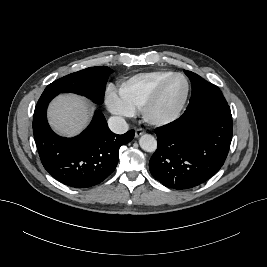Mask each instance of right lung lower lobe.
I'll use <instances>...</instances> for the list:
<instances>
[{"label":"right lung lower lobe","mask_w":267,"mask_h":267,"mask_svg":"<svg viewBox=\"0 0 267 267\" xmlns=\"http://www.w3.org/2000/svg\"><path fill=\"white\" fill-rule=\"evenodd\" d=\"M56 93H43L35 107L33 132L39 156L47 172L63 184L87 188L104 181L116 168L118 151L134 138V131L114 134L97 111L78 136L63 138L48 125L46 110Z\"/></svg>","instance_id":"1"}]
</instances>
